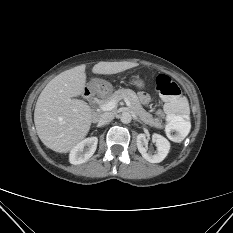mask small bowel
Here are the masks:
<instances>
[{
    "mask_svg": "<svg viewBox=\"0 0 233 233\" xmlns=\"http://www.w3.org/2000/svg\"><path fill=\"white\" fill-rule=\"evenodd\" d=\"M144 99L146 98L144 95L142 96Z\"/></svg>",
    "mask_w": 233,
    "mask_h": 233,
    "instance_id": "obj_1",
    "label": "small bowel"
}]
</instances>
